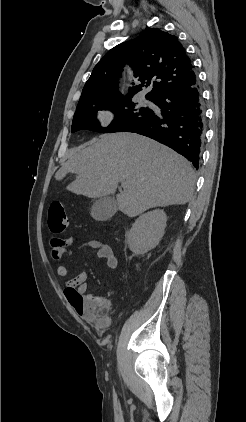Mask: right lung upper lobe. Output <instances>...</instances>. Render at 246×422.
<instances>
[{
	"label": "right lung upper lobe",
	"mask_w": 246,
	"mask_h": 422,
	"mask_svg": "<svg viewBox=\"0 0 246 422\" xmlns=\"http://www.w3.org/2000/svg\"><path fill=\"white\" fill-rule=\"evenodd\" d=\"M126 63L139 82L129 89L127 96L133 97L151 85L153 89L146 98L153 101L163 93L197 82L192 62L178 38L149 28L136 39L121 43L105 54L86 82L77 107L123 96L118 90V79Z\"/></svg>",
	"instance_id": "right-lung-upper-lobe-1"
}]
</instances>
